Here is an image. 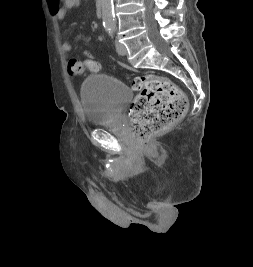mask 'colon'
I'll return each mask as SVG.
<instances>
[{
  "mask_svg": "<svg viewBox=\"0 0 253 267\" xmlns=\"http://www.w3.org/2000/svg\"><path fill=\"white\" fill-rule=\"evenodd\" d=\"M86 59L71 58L68 61L70 75H80L84 69L99 72L101 65L84 50ZM132 89L139 92L132 102L128 116L134 137L147 143L179 120L187 110L185 94L171 81L158 75H139L132 80Z\"/></svg>",
  "mask_w": 253,
  "mask_h": 267,
  "instance_id": "1",
  "label": "colon"
}]
</instances>
